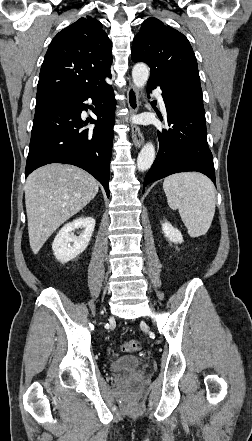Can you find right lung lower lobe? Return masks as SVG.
Listing matches in <instances>:
<instances>
[{"mask_svg":"<svg viewBox=\"0 0 252 441\" xmlns=\"http://www.w3.org/2000/svg\"><path fill=\"white\" fill-rule=\"evenodd\" d=\"M91 98L98 107L93 130H82L81 112ZM114 92L110 85L97 89L59 92L36 102L25 177L49 163L78 166L93 175L109 197V167L112 155L115 112Z\"/></svg>","mask_w":252,"mask_h":441,"instance_id":"98d812e1","label":"right lung lower lobe"}]
</instances>
